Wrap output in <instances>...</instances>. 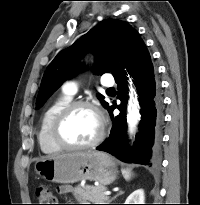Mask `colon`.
Here are the masks:
<instances>
[{
    "label": "colon",
    "mask_w": 200,
    "mask_h": 205,
    "mask_svg": "<svg viewBox=\"0 0 200 205\" xmlns=\"http://www.w3.org/2000/svg\"><path fill=\"white\" fill-rule=\"evenodd\" d=\"M38 205H56V197L53 191L46 185H38L35 190Z\"/></svg>",
    "instance_id": "5ec220e1"
}]
</instances>
